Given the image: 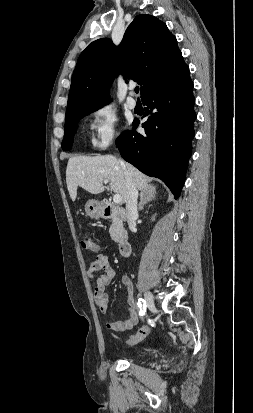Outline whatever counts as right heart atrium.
Returning <instances> with one entry per match:
<instances>
[{"label": "right heart atrium", "instance_id": "1", "mask_svg": "<svg viewBox=\"0 0 253 413\" xmlns=\"http://www.w3.org/2000/svg\"><path fill=\"white\" fill-rule=\"evenodd\" d=\"M91 144L97 150L110 147L118 137V117L110 106H101L90 114Z\"/></svg>", "mask_w": 253, "mask_h": 413}]
</instances>
